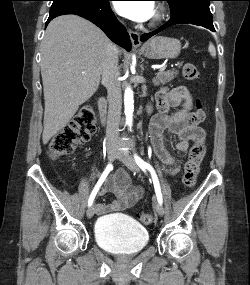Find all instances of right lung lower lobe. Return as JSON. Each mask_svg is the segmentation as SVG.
<instances>
[{
	"label": "right lung lower lobe",
	"mask_w": 250,
	"mask_h": 285,
	"mask_svg": "<svg viewBox=\"0 0 250 285\" xmlns=\"http://www.w3.org/2000/svg\"><path fill=\"white\" fill-rule=\"evenodd\" d=\"M109 1L110 0H107L98 8H75L55 15H49L46 26L53 18L57 16L65 14L79 15L100 27L113 42L130 51L131 41L129 34L127 33L125 27L116 20L110 8Z\"/></svg>",
	"instance_id": "obj_1"
}]
</instances>
